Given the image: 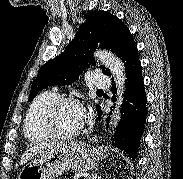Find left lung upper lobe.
Returning a JSON list of instances; mask_svg holds the SVG:
<instances>
[{
    "label": "left lung upper lobe",
    "instance_id": "1",
    "mask_svg": "<svg viewBox=\"0 0 183 179\" xmlns=\"http://www.w3.org/2000/svg\"><path fill=\"white\" fill-rule=\"evenodd\" d=\"M85 19L64 52L41 67L32 84L29 101L48 86L75 82L89 63L95 65L92 53L97 47L117 54L123 36L129 31L123 22L108 11L97 10L87 14ZM102 69L105 75H110L108 69ZM96 109L101 111L99 106Z\"/></svg>",
    "mask_w": 183,
    "mask_h": 179
}]
</instances>
